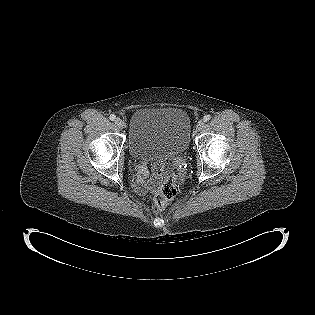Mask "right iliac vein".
Wrapping results in <instances>:
<instances>
[{"label": "right iliac vein", "mask_w": 315, "mask_h": 315, "mask_svg": "<svg viewBox=\"0 0 315 315\" xmlns=\"http://www.w3.org/2000/svg\"><path fill=\"white\" fill-rule=\"evenodd\" d=\"M115 125L119 129H123L125 127L124 121L122 119H120V118H116Z\"/></svg>", "instance_id": "right-iliac-vein-1"}]
</instances>
